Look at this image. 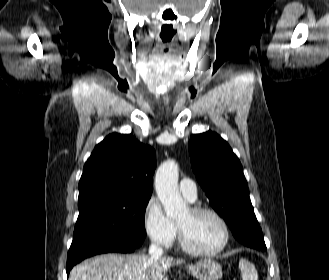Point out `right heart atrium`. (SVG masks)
I'll list each match as a JSON object with an SVG mask.
<instances>
[{"label":"right heart atrium","instance_id":"right-heart-atrium-1","mask_svg":"<svg viewBox=\"0 0 329 280\" xmlns=\"http://www.w3.org/2000/svg\"><path fill=\"white\" fill-rule=\"evenodd\" d=\"M143 226L150 241L160 247L170 248L177 237L176 225L166 216L156 198L147 201L143 211Z\"/></svg>","mask_w":329,"mask_h":280}]
</instances>
